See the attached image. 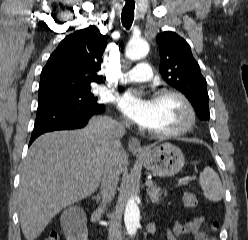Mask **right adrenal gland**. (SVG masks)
Segmentation results:
<instances>
[{"mask_svg": "<svg viewBox=\"0 0 248 240\" xmlns=\"http://www.w3.org/2000/svg\"><path fill=\"white\" fill-rule=\"evenodd\" d=\"M92 199H94L97 204H99L101 202V196L99 194L93 196Z\"/></svg>", "mask_w": 248, "mask_h": 240, "instance_id": "2a0ac1e0", "label": "right adrenal gland"}]
</instances>
